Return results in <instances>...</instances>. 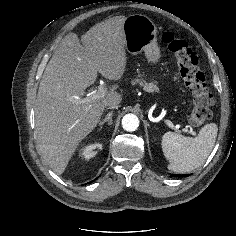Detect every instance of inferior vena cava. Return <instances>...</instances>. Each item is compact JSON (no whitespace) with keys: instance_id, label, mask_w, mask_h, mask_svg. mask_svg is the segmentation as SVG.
<instances>
[{"instance_id":"obj_1","label":"inferior vena cava","mask_w":236,"mask_h":236,"mask_svg":"<svg viewBox=\"0 0 236 236\" xmlns=\"http://www.w3.org/2000/svg\"><path fill=\"white\" fill-rule=\"evenodd\" d=\"M110 109H117L118 108V104L117 103H109L108 105H107Z\"/></svg>"}]
</instances>
